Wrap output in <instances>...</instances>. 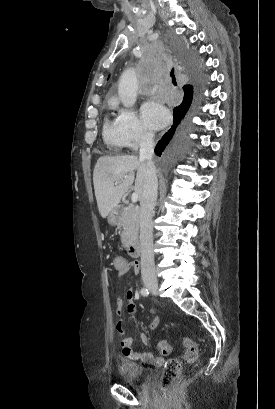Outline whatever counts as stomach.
<instances>
[{
	"label": "stomach",
	"instance_id": "stomach-1",
	"mask_svg": "<svg viewBox=\"0 0 275 409\" xmlns=\"http://www.w3.org/2000/svg\"><path fill=\"white\" fill-rule=\"evenodd\" d=\"M120 215H121L120 207H114V209H112V211H110L108 215L109 225H112V227H115V225H118L120 221Z\"/></svg>",
	"mask_w": 275,
	"mask_h": 409
}]
</instances>
